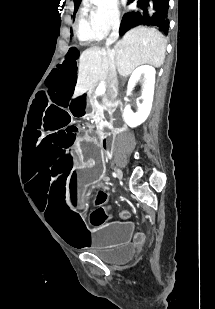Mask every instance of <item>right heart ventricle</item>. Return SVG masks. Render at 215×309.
<instances>
[{
	"label": "right heart ventricle",
	"instance_id": "e07e8e85",
	"mask_svg": "<svg viewBox=\"0 0 215 309\" xmlns=\"http://www.w3.org/2000/svg\"><path fill=\"white\" fill-rule=\"evenodd\" d=\"M77 25H78L77 34H82V35L79 36V39L81 41L90 38L89 37L90 34H97V32H98L97 27H94V20L93 19H78Z\"/></svg>",
	"mask_w": 215,
	"mask_h": 309
}]
</instances>
